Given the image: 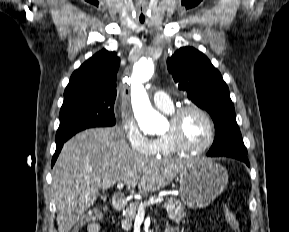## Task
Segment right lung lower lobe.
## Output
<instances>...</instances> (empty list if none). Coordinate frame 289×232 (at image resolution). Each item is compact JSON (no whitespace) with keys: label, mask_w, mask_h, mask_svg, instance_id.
Instances as JSON below:
<instances>
[{"label":"right lung lower lobe","mask_w":289,"mask_h":232,"mask_svg":"<svg viewBox=\"0 0 289 232\" xmlns=\"http://www.w3.org/2000/svg\"><path fill=\"white\" fill-rule=\"evenodd\" d=\"M62 147H63V143L56 145V151H55V154H54L53 159H52V166L54 165Z\"/></svg>","instance_id":"1"}]
</instances>
